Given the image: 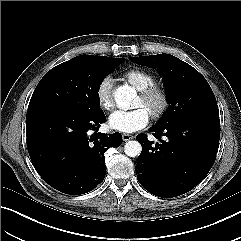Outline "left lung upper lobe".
<instances>
[{
    "label": "left lung upper lobe",
    "mask_w": 241,
    "mask_h": 241,
    "mask_svg": "<svg viewBox=\"0 0 241 241\" xmlns=\"http://www.w3.org/2000/svg\"><path fill=\"white\" fill-rule=\"evenodd\" d=\"M131 61L159 70L170 106L156 124L166 126L187 118L219 119L214 93L192 66L170 54L129 57Z\"/></svg>",
    "instance_id": "1"
}]
</instances>
